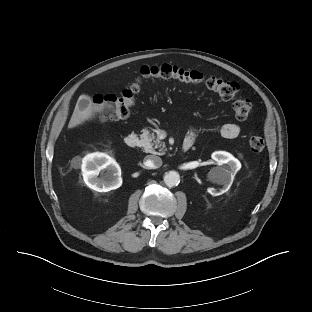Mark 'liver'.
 Wrapping results in <instances>:
<instances>
[{
  "label": "liver",
  "instance_id": "liver-1",
  "mask_svg": "<svg viewBox=\"0 0 312 312\" xmlns=\"http://www.w3.org/2000/svg\"><path fill=\"white\" fill-rule=\"evenodd\" d=\"M86 100L87 103L81 105V101ZM96 115V108L91 98L88 95H81L78 99V102L75 106L74 112L71 116L70 122L68 124V128H74L78 125L83 124L85 121L91 120Z\"/></svg>",
  "mask_w": 312,
  "mask_h": 312
}]
</instances>
